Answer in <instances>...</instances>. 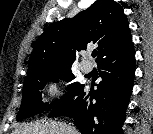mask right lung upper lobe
Here are the masks:
<instances>
[{
	"mask_svg": "<svg viewBox=\"0 0 153 134\" xmlns=\"http://www.w3.org/2000/svg\"><path fill=\"white\" fill-rule=\"evenodd\" d=\"M131 41L121 5L113 0H97L75 17L48 26L35 42L25 78L49 69L71 66L75 50H86L91 44H98V62Z\"/></svg>",
	"mask_w": 153,
	"mask_h": 134,
	"instance_id": "obj_1",
	"label": "right lung upper lobe"
}]
</instances>
